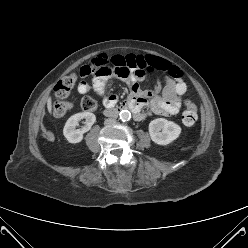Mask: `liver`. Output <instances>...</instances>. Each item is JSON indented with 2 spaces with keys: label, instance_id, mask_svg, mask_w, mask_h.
I'll return each mask as SVG.
<instances>
[{
  "label": "liver",
  "instance_id": "obj_1",
  "mask_svg": "<svg viewBox=\"0 0 248 248\" xmlns=\"http://www.w3.org/2000/svg\"><path fill=\"white\" fill-rule=\"evenodd\" d=\"M47 108H48L49 113H52V100H51V98H49L47 101Z\"/></svg>",
  "mask_w": 248,
  "mask_h": 248
}]
</instances>
